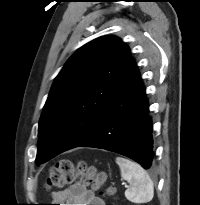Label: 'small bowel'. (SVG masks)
<instances>
[{
    "label": "small bowel",
    "mask_w": 200,
    "mask_h": 205,
    "mask_svg": "<svg viewBox=\"0 0 200 205\" xmlns=\"http://www.w3.org/2000/svg\"><path fill=\"white\" fill-rule=\"evenodd\" d=\"M51 197L52 204L49 205H104L102 199L82 183H75L62 191L54 192Z\"/></svg>",
    "instance_id": "1"
}]
</instances>
